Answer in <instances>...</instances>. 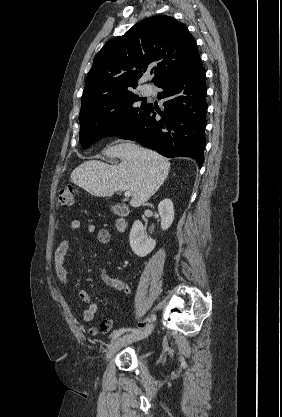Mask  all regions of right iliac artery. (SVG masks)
<instances>
[{
    "instance_id": "obj_1",
    "label": "right iliac artery",
    "mask_w": 282,
    "mask_h": 417,
    "mask_svg": "<svg viewBox=\"0 0 282 417\" xmlns=\"http://www.w3.org/2000/svg\"><path fill=\"white\" fill-rule=\"evenodd\" d=\"M155 319H156V316L155 315H152L151 316V320L152 321H155ZM129 331H132L133 333H137V332H139L140 330H138V329H131V328H127V329H125V328H122V329H119V330H116V331H114L113 333H112V341H114V340H116L121 334H123V333H125V332H129ZM132 333V334H133Z\"/></svg>"
}]
</instances>
